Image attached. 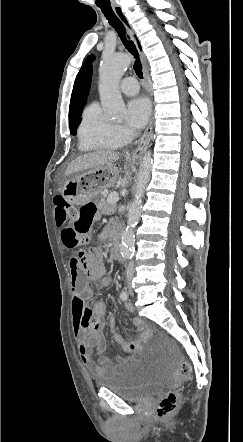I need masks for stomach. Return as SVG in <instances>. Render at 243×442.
Masks as SVG:
<instances>
[{"mask_svg":"<svg viewBox=\"0 0 243 442\" xmlns=\"http://www.w3.org/2000/svg\"><path fill=\"white\" fill-rule=\"evenodd\" d=\"M119 170L114 164L102 165L68 179L62 195L72 204H85L117 182Z\"/></svg>","mask_w":243,"mask_h":442,"instance_id":"0dacf381","label":"stomach"}]
</instances>
